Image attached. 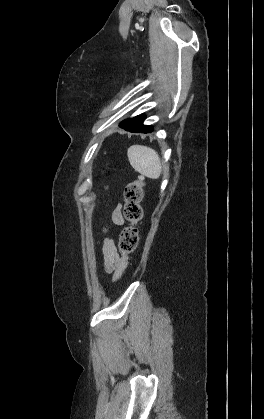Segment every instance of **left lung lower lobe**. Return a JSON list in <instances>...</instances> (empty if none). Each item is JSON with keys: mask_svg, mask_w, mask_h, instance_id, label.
<instances>
[{"mask_svg": "<svg viewBox=\"0 0 264 419\" xmlns=\"http://www.w3.org/2000/svg\"><path fill=\"white\" fill-rule=\"evenodd\" d=\"M144 117L136 116L133 119L129 118L123 121L119 126L126 131L135 132V133H148L153 129L151 126L143 125Z\"/></svg>", "mask_w": 264, "mask_h": 419, "instance_id": "1", "label": "left lung lower lobe"}]
</instances>
